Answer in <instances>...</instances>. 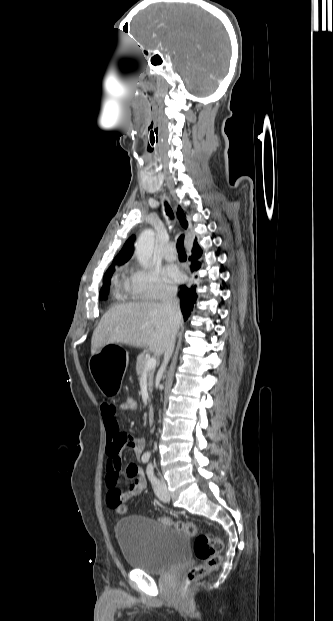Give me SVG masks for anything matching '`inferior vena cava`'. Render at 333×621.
Returning <instances> with one entry per match:
<instances>
[{
  "label": "inferior vena cava",
  "instance_id": "obj_1",
  "mask_svg": "<svg viewBox=\"0 0 333 621\" xmlns=\"http://www.w3.org/2000/svg\"><path fill=\"white\" fill-rule=\"evenodd\" d=\"M162 305L168 315L171 326L164 351L163 363L160 367V372H163L165 370L172 356L175 346V337L180 326V308L179 300L177 298V289H170L166 292L162 300Z\"/></svg>",
  "mask_w": 333,
  "mask_h": 621
}]
</instances>
